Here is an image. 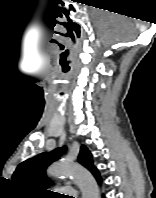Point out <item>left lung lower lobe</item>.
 Returning a JSON list of instances; mask_svg holds the SVG:
<instances>
[{"mask_svg": "<svg viewBox=\"0 0 156 198\" xmlns=\"http://www.w3.org/2000/svg\"><path fill=\"white\" fill-rule=\"evenodd\" d=\"M95 178H96V180L98 181V183L100 184V183H101V178H100L99 172H97V173L95 174ZM103 198H104V197H103Z\"/></svg>", "mask_w": 156, "mask_h": 198, "instance_id": "0a47b994", "label": "left lung lower lobe"}]
</instances>
